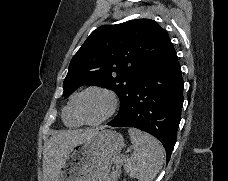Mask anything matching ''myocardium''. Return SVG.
<instances>
[{"instance_id":"obj_1","label":"myocardium","mask_w":228,"mask_h":181,"mask_svg":"<svg viewBox=\"0 0 228 181\" xmlns=\"http://www.w3.org/2000/svg\"><path fill=\"white\" fill-rule=\"evenodd\" d=\"M90 92H95V93H99L101 95H103L106 98V106L103 110V112L101 113V115L99 117H97L94 120H84L82 119V117L80 116L79 113V107H78V103L80 98ZM74 110L76 115L78 116V118L80 119L81 122L85 123V124H89V125H96L99 124L101 122H103L104 120H106L108 117H110L116 110L117 105H118V97L117 95L104 87H90L88 89H85L84 91H82L75 99H74Z\"/></svg>"}]
</instances>
